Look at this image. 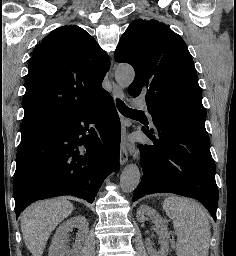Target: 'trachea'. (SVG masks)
Listing matches in <instances>:
<instances>
[{
	"label": "trachea",
	"mask_w": 236,
	"mask_h": 256,
	"mask_svg": "<svg viewBox=\"0 0 236 256\" xmlns=\"http://www.w3.org/2000/svg\"><path fill=\"white\" fill-rule=\"evenodd\" d=\"M116 106L118 108V110L124 115H128V114H133V113H137V112H141V110H133L132 108H129L128 106L125 105V103L120 100L119 98L116 99Z\"/></svg>",
	"instance_id": "1"
}]
</instances>
